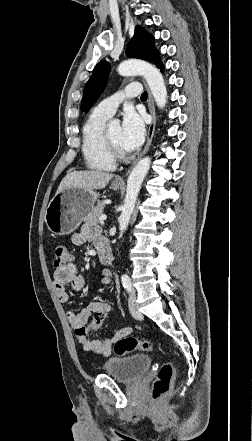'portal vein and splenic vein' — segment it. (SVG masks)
<instances>
[{
    "label": "portal vein and splenic vein",
    "mask_w": 252,
    "mask_h": 441,
    "mask_svg": "<svg viewBox=\"0 0 252 441\" xmlns=\"http://www.w3.org/2000/svg\"><path fill=\"white\" fill-rule=\"evenodd\" d=\"M106 219H107V216L104 215V214H102V215L99 217V221H100L101 223H103Z\"/></svg>",
    "instance_id": "obj_1"
}]
</instances>
